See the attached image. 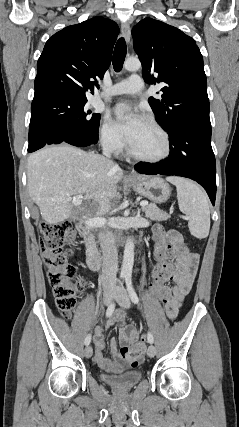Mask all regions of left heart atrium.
<instances>
[{
    "mask_svg": "<svg viewBox=\"0 0 239 427\" xmlns=\"http://www.w3.org/2000/svg\"><path fill=\"white\" fill-rule=\"evenodd\" d=\"M128 111L129 107L127 105L120 104L114 109V114L119 130L125 137L126 141L130 143L134 139L145 119L139 113L133 112L130 118L127 121H124L123 117Z\"/></svg>",
    "mask_w": 239,
    "mask_h": 427,
    "instance_id": "39dd6f15",
    "label": "left heart atrium"
}]
</instances>
